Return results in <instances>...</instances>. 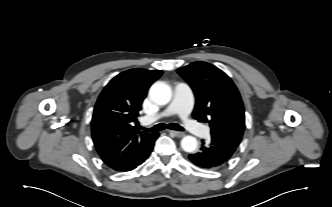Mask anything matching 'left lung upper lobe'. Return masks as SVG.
<instances>
[{"label": "left lung upper lobe", "mask_w": 332, "mask_h": 207, "mask_svg": "<svg viewBox=\"0 0 332 207\" xmlns=\"http://www.w3.org/2000/svg\"><path fill=\"white\" fill-rule=\"evenodd\" d=\"M177 72L195 94L193 117L209 122L212 139L236 148L243 135L245 119L243 103L233 81L207 62H193Z\"/></svg>", "instance_id": "5c2ea615"}]
</instances>
